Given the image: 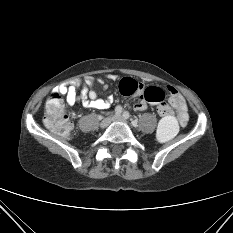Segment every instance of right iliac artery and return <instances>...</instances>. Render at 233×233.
Segmentation results:
<instances>
[{
	"label": "right iliac artery",
	"instance_id": "right-iliac-artery-1",
	"mask_svg": "<svg viewBox=\"0 0 233 233\" xmlns=\"http://www.w3.org/2000/svg\"><path fill=\"white\" fill-rule=\"evenodd\" d=\"M121 113H122V107H121V106H117V107L115 108V114H116V115H121Z\"/></svg>",
	"mask_w": 233,
	"mask_h": 233
}]
</instances>
